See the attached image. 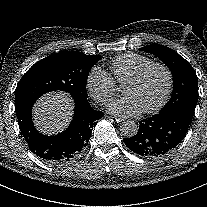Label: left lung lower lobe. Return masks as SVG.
I'll list each match as a JSON object with an SVG mask.
<instances>
[{"instance_id":"obj_1","label":"left lung lower lobe","mask_w":207,"mask_h":207,"mask_svg":"<svg viewBox=\"0 0 207 207\" xmlns=\"http://www.w3.org/2000/svg\"><path fill=\"white\" fill-rule=\"evenodd\" d=\"M193 116L179 109L159 112L141 120L137 134L124 138L133 152L155 158L171 152L186 136Z\"/></svg>"}]
</instances>
